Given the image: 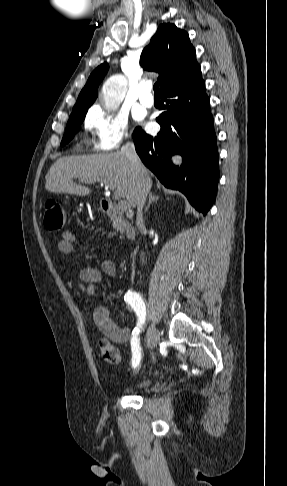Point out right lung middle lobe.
Returning a JSON list of instances; mask_svg holds the SVG:
<instances>
[{"mask_svg": "<svg viewBox=\"0 0 287 486\" xmlns=\"http://www.w3.org/2000/svg\"><path fill=\"white\" fill-rule=\"evenodd\" d=\"M86 112L87 111L70 115L66 126V131L61 142V146L67 144L74 137L75 133L79 130L80 125L85 118Z\"/></svg>", "mask_w": 287, "mask_h": 486, "instance_id": "obj_1", "label": "right lung middle lobe"}]
</instances>
